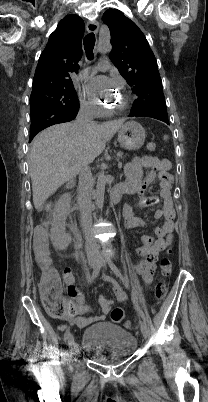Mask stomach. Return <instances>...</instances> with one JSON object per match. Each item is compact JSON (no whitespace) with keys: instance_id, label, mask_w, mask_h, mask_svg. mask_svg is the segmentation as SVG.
Wrapping results in <instances>:
<instances>
[{"instance_id":"stomach-1","label":"stomach","mask_w":208,"mask_h":402,"mask_svg":"<svg viewBox=\"0 0 208 402\" xmlns=\"http://www.w3.org/2000/svg\"><path fill=\"white\" fill-rule=\"evenodd\" d=\"M118 142L125 150H139L145 142V130L138 122H126L118 132Z\"/></svg>"}]
</instances>
